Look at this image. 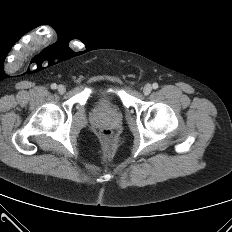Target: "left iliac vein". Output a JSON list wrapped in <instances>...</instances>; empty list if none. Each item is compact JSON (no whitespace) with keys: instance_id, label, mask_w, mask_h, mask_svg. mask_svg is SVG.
<instances>
[{"instance_id":"obj_1","label":"left iliac vein","mask_w":232,"mask_h":232,"mask_svg":"<svg viewBox=\"0 0 232 232\" xmlns=\"http://www.w3.org/2000/svg\"><path fill=\"white\" fill-rule=\"evenodd\" d=\"M152 91V86L150 84H146L144 87H143V93L145 95H149Z\"/></svg>"}]
</instances>
